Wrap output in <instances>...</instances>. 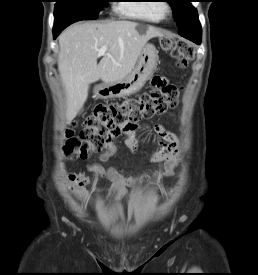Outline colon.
<instances>
[{"instance_id":"5ec220e1","label":"colon","mask_w":258,"mask_h":275,"mask_svg":"<svg viewBox=\"0 0 258 275\" xmlns=\"http://www.w3.org/2000/svg\"><path fill=\"white\" fill-rule=\"evenodd\" d=\"M163 51L170 53L181 67H186L194 57V49L186 42L172 36L160 39ZM153 89L138 97L121 103L98 105L91 116L84 121V127L76 133L68 130L65 134L64 152L69 158H86L90 152L100 151L107 141L122 132L137 128L144 118L164 114L177 104L178 90L161 78L152 79ZM72 188L82 186L86 178L81 174H70Z\"/></svg>"}]
</instances>
